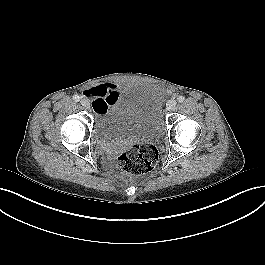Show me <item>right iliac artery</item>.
Wrapping results in <instances>:
<instances>
[{"label": "right iliac artery", "mask_w": 265, "mask_h": 265, "mask_svg": "<svg viewBox=\"0 0 265 265\" xmlns=\"http://www.w3.org/2000/svg\"><path fill=\"white\" fill-rule=\"evenodd\" d=\"M73 99H74V101L78 102V101H80L81 97L79 95H74Z\"/></svg>", "instance_id": "82829eb1"}]
</instances>
